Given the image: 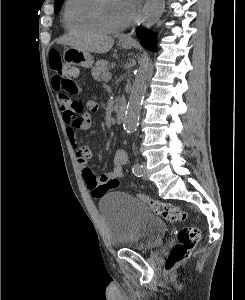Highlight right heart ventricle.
Listing matches in <instances>:
<instances>
[{"label":"right heart ventricle","instance_id":"e07e8e85","mask_svg":"<svg viewBox=\"0 0 245 300\" xmlns=\"http://www.w3.org/2000/svg\"><path fill=\"white\" fill-rule=\"evenodd\" d=\"M93 0H67L64 10V25L70 32H101L91 18Z\"/></svg>","mask_w":245,"mask_h":300}]
</instances>
